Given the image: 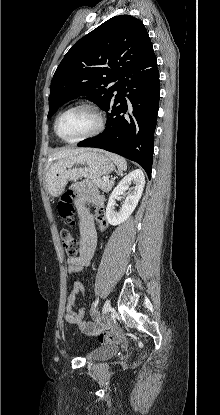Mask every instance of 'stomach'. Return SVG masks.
I'll return each mask as SVG.
<instances>
[{
	"mask_svg": "<svg viewBox=\"0 0 220 415\" xmlns=\"http://www.w3.org/2000/svg\"><path fill=\"white\" fill-rule=\"evenodd\" d=\"M115 170L113 162L95 150H86L54 162L46 173V183L52 196H60L69 180L98 179Z\"/></svg>",
	"mask_w": 220,
	"mask_h": 415,
	"instance_id": "0dacf381",
	"label": "stomach"
}]
</instances>
